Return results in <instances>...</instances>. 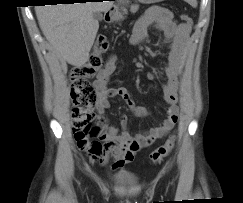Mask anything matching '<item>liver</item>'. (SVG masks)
<instances>
[{
  "label": "liver",
  "mask_w": 243,
  "mask_h": 203,
  "mask_svg": "<svg viewBox=\"0 0 243 203\" xmlns=\"http://www.w3.org/2000/svg\"><path fill=\"white\" fill-rule=\"evenodd\" d=\"M112 1L41 5L35 9L43 34L69 64L80 67L89 60L99 23L95 11H108Z\"/></svg>",
  "instance_id": "obj_1"
}]
</instances>
